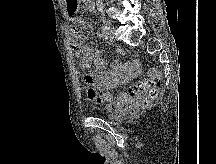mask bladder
I'll return each instance as SVG.
<instances>
[{
    "mask_svg": "<svg viewBox=\"0 0 216 164\" xmlns=\"http://www.w3.org/2000/svg\"><path fill=\"white\" fill-rule=\"evenodd\" d=\"M128 111V106H117L115 109L110 110V113L107 115V120L115 123L120 122L126 117Z\"/></svg>",
    "mask_w": 216,
    "mask_h": 164,
    "instance_id": "bladder-1",
    "label": "bladder"
}]
</instances>
